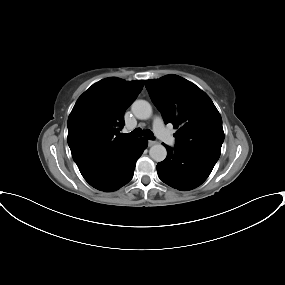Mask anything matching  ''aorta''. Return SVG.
<instances>
[{
	"label": "aorta",
	"mask_w": 285,
	"mask_h": 285,
	"mask_svg": "<svg viewBox=\"0 0 285 285\" xmlns=\"http://www.w3.org/2000/svg\"><path fill=\"white\" fill-rule=\"evenodd\" d=\"M131 109L135 117L140 120L149 119L152 115V107L150 103L145 100L134 101ZM149 155L154 161L161 162L165 160L167 150L162 144H155L150 148Z\"/></svg>",
	"instance_id": "obj_1"
}]
</instances>
